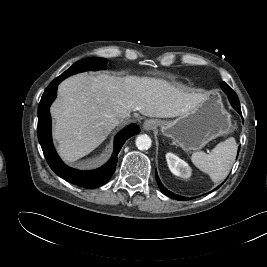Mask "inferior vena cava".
<instances>
[{"mask_svg": "<svg viewBox=\"0 0 267 267\" xmlns=\"http://www.w3.org/2000/svg\"><path fill=\"white\" fill-rule=\"evenodd\" d=\"M130 115H129V113H126V114H122L120 117L121 118H126V117H129Z\"/></svg>", "mask_w": 267, "mask_h": 267, "instance_id": "1", "label": "inferior vena cava"}]
</instances>
